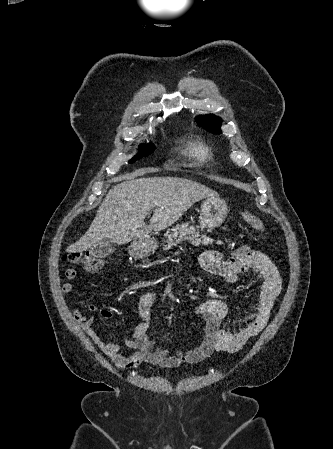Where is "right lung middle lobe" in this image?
Masks as SVG:
<instances>
[{
	"instance_id": "dd1d6c3e",
	"label": "right lung middle lobe",
	"mask_w": 333,
	"mask_h": 449,
	"mask_svg": "<svg viewBox=\"0 0 333 449\" xmlns=\"http://www.w3.org/2000/svg\"><path fill=\"white\" fill-rule=\"evenodd\" d=\"M154 150V147L152 144H148V145H143L140 149H139V153L130 160V163L135 162L138 158L142 157V156H146L148 154H151L152 151Z\"/></svg>"
}]
</instances>
